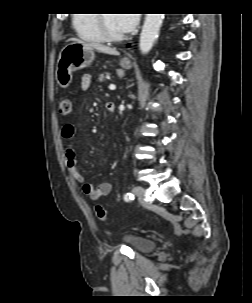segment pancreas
Masks as SVG:
<instances>
[{"label": "pancreas", "mask_w": 252, "mask_h": 303, "mask_svg": "<svg viewBox=\"0 0 252 303\" xmlns=\"http://www.w3.org/2000/svg\"><path fill=\"white\" fill-rule=\"evenodd\" d=\"M109 75V73H100L98 75V79L100 82H104L106 80V77Z\"/></svg>", "instance_id": "cf45deb5"}]
</instances>
